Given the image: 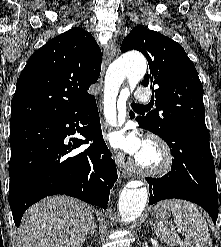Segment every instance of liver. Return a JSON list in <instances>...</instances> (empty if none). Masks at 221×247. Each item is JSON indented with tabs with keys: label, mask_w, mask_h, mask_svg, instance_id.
<instances>
[{
	"label": "liver",
	"mask_w": 221,
	"mask_h": 247,
	"mask_svg": "<svg viewBox=\"0 0 221 247\" xmlns=\"http://www.w3.org/2000/svg\"><path fill=\"white\" fill-rule=\"evenodd\" d=\"M93 211L92 206L72 197L44 198L22 217L21 247H82Z\"/></svg>",
	"instance_id": "obj_1"
}]
</instances>
